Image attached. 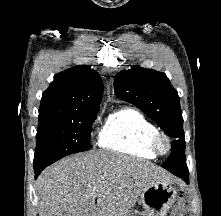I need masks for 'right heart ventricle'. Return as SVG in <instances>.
Returning a JSON list of instances; mask_svg holds the SVG:
<instances>
[{"label": "right heart ventricle", "mask_w": 221, "mask_h": 216, "mask_svg": "<svg viewBox=\"0 0 221 216\" xmlns=\"http://www.w3.org/2000/svg\"><path fill=\"white\" fill-rule=\"evenodd\" d=\"M154 125L138 109L123 107L111 113L98 134V145L108 151L144 159H154L148 137Z\"/></svg>", "instance_id": "e07e8e85"}]
</instances>
